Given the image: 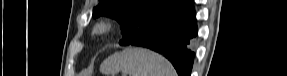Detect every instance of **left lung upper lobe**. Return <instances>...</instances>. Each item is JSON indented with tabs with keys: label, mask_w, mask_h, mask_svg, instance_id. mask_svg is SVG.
<instances>
[{
	"label": "left lung upper lobe",
	"mask_w": 287,
	"mask_h": 76,
	"mask_svg": "<svg viewBox=\"0 0 287 76\" xmlns=\"http://www.w3.org/2000/svg\"><path fill=\"white\" fill-rule=\"evenodd\" d=\"M186 0H100L93 9V17L101 15L116 19L123 39L120 45H129L142 36L154 23L180 9Z\"/></svg>",
	"instance_id": "obj_1"
}]
</instances>
